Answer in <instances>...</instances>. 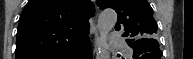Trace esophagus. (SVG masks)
Segmentation results:
<instances>
[{"label":"esophagus","mask_w":193,"mask_h":59,"mask_svg":"<svg viewBox=\"0 0 193 59\" xmlns=\"http://www.w3.org/2000/svg\"><path fill=\"white\" fill-rule=\"evenodd\" d=\"M97 40H98V37H97V33H96V38H95L96 45H97ZM96 51H97V49L95 48L94 52H96Z\"/></svg>","instance_id":"34e87169"}]
</instances>
